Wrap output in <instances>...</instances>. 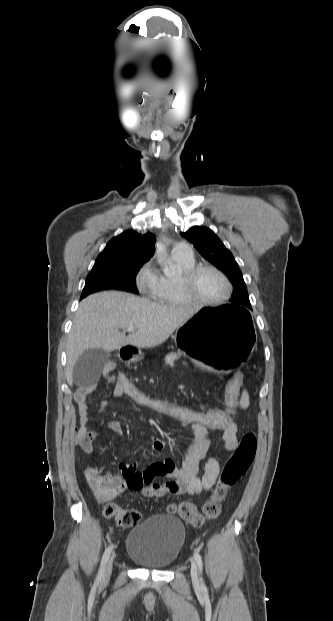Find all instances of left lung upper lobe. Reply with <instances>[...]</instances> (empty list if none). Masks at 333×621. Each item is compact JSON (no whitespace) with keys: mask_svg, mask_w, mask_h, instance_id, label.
<instances>
[{"mask_svg":"<svg viewBox=\"0 0 333 621\" xmlns=\"http://www.w3.org/2000/svg\"><path fill=\"white\" fill-rule=\"evenodd\" d=\"M181 235L190 241L206 260L230 277L234 286L231 304L235 307L251 309L246 285L238 264L218 236L209 228L201 226H194Z\"/></svg>","mask_w":333,"mask_h":621,"instance_id":"1","label":"left lung upper lobe"}]
</instances>
